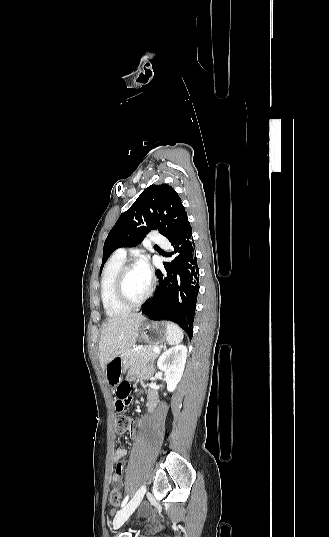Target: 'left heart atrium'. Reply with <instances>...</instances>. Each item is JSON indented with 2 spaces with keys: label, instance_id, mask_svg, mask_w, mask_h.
I'll list each match as a JSON object with an SVG mask.
<instances>
[{
  "label": "left heart atrium",
  "instance_id": "39dd6f15",
  "mask_svg": "<svg viewBox=\"0 0 329 537\" xmlns=\"http://www.w3.org/2000/svg\"><path fill=\"white\" fill-rule=\"evenodd\" d=\"M137 269L140 272V274L143 276V278L147 280L148 282H150L151 269L146 258L141 257L139 259V261L137 262Z\"/></svg>",
  "mask_w": 329,
  "mask_h": 537
}]
</instances>
